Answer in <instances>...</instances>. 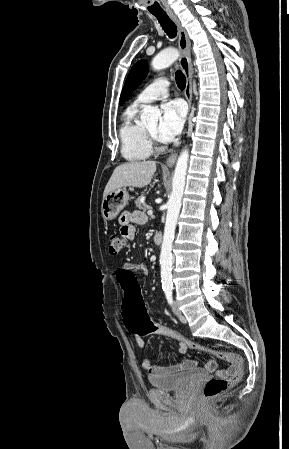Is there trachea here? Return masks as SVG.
<instances>
[{
    "instance_id": "obj_1",
    "label": "trachea",
    "mask_w": 289,
    "mask_h": 449,
    "mask_svg": "<svg viewBox=\"0 0 289 449\" xmlns=\"http://www.w3.org/2000/svg\"><path fill=\"white\" fill-rule=\"evenodd\" d=\"M159 21L161 27L169 38H175L177 35V27L175 23L169 18L166 13H152ZM176 84L179 89L183 90L186 86V77L182 71L178 70L175 73Z\"/></svg>"
}]
</instances>
